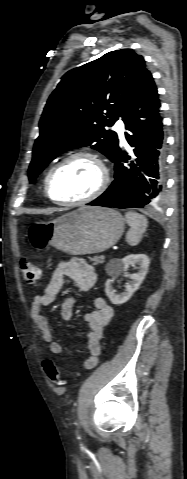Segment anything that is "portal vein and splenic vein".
<instances>
[{"mask_svg": "<svg viewBox=\"0 0 187 479\" xmlns=\"http://www.w3.org/2000/svg\"><path fill=\"white\" fill-rule=\"evenodd\" d=\"M101 258H102V259H104V258H105V256H104V255H101Z\"/></svg>", "mask_w": 187, "mask_h": 479, "instance_id": "18ae733b", "label": "portal vein and splenic vein"}]
</instances>
